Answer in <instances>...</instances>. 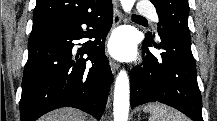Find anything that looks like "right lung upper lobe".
I'll return each mask as SVG.
<instances>
[{
	"mask_svg": "<svg viewBox=\"0 0 217 121\" xmlns=\"http://www.w3.org/2000/svg\"><path fill=\"white\" fill-rule=\"evenodd\" d=\"M104 0H37L33 24L62 22L94 10Z\"/></svg>",
	"mask_w": 217,
	"mask_h": 121,
	"instance_id": "obj_1",
	"label": "right lung upper lobe"
}]
</instances>
